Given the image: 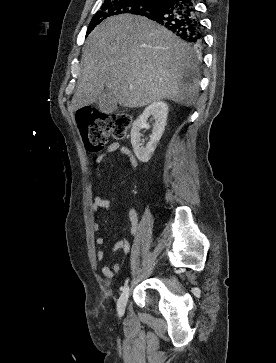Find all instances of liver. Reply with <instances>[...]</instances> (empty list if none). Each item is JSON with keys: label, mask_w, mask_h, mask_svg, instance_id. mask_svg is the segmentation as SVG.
<instances>
[{"label": "liver", "mask_w": 276, "mask_h": 363, "mask_svg": "<svg viewBox=\"0 0 276 363\" xmlns=\"http://www.w3.org/2000/svg\"><path fill=\"white\" fill-rule=\"evenodd\" d=\"M84 69L71 110L97 102L107 88L123 107L163 99L190 106L198 96L199 60L192 47L141 16L106 19L88 36Z\"/></svg>", "instance_id": "obj_1"}]
</instances>
